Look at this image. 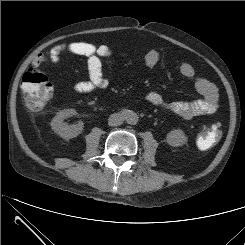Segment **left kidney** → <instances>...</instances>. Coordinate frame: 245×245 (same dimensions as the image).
Segmentation results:
<instances>
[{"instance_id": "obj_1", "label": "left kidney", "mask_w": 245, "mask_h": 245, "mask_svg": "<svg viewBox=\"0 0 245 245\" xmlns=\"http://www.w3.org/2000/svg\"><path fill=\"white\" fill-rule=\"evenodd\" d=\"M167 142L171 146L178 147L187 142V137L181 129H174L167 134Z\"/></svg>"}]
</instances>
